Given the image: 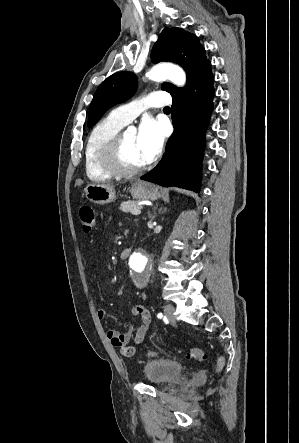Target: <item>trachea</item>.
Instances as JSON below:
<instances>
[{
	"mask_svg": "<svg viewBox=\"0 0 299 443\" xmlns=\"http://www.w3.org/2000/svg\"><path fill=\"white\" fill-rule=\"evenodd\" d=\"M164 110H170V107H165Z\"/></svg>",
	"mask_w": 299,
	"mask_h": 443,
	"instance_id": "obj_1",
	"label": "trachea"
}]
</instances>
